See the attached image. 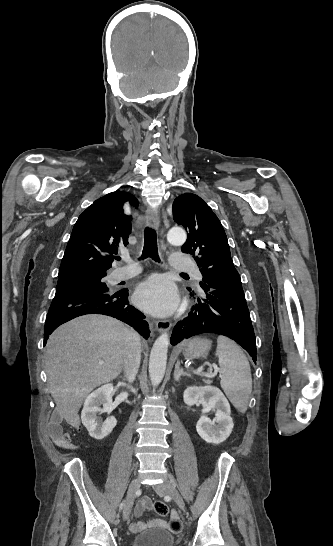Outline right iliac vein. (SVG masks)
Segmentation results:
<instances>
[{
    "label": "right iliac vein",
    "instance_id": "obj_1",
    "mask_svg": "<svg viewBox=\"0 0 333 546\" xmlns=\"http://www.w3.org/2000/svg\"><path fill=\"white\" fill-rule=\"evenodd\" d=\"M140 485L141 484H140V479L139 478L133 479L131 481L130 485H129V489H128V492H127V499H126V503H125L124 510H123V519L124 520H127L129 515H130L132 504H133V499L135 497L136 492L139 490Z\"/></svg>",
    "mask_w": 333,
    "mask_h": 546
}]
</instances>
